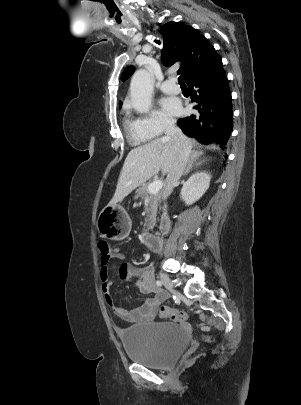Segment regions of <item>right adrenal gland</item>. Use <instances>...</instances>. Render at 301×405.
<instances>
[{
	"mask_svg": "<svg viewBox=\"0 0 301 405\" xmlns=\"http://www.w3.org/2000/svg\"><path fill=\"white\" fill-rule=\"evenodd\" d=\"M203 155L202 152L199 151H193L191 153L190 159L188 161L187 167L183 173V175H187L193 168H198L200 165H202L205 160H199V158Z\"/></svg>",
	"mask_w": 301,
	"mask_h": 405,
	"instance_id": "obj_1",
	"label": "right adrenal gland"
}]
</instances>
